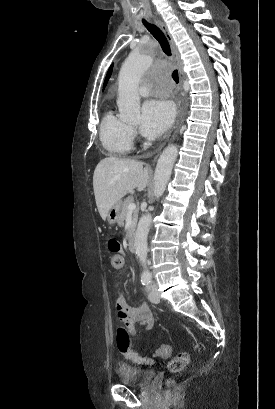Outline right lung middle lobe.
<instances>
[{
  "label": "right lung middle lobe",
  "instance_id": "dd1d6c3e",
  "mask_svg": "<svg viewBox=\"0 0 275 409\" xmlns=\"http://www.w3.org/2000/svg\"><path fill=\"white\" fill-rule=\"evenodd\" d=\"M151 165L154 167L156 164L153 162Z\"/></svg>",
  "mask_w": 275,
  "mask_h": 409
}]
</instances>
